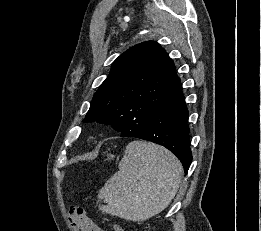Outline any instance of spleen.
<instances>
[{
    "label": "spleen",
    "instance_id": "1",
    "mask_svg": "<svg viewBox=\"0 0 261 231\" xmlns=\"http://www.w3.org/2000/svg\"><path fill=\"white\" fill-rule=\"evenodd\" d=\"M182 166L168 150L135 140L126 146L119 171L106 181L98 199L108 203L102 212L143 221L164 210L175 197Z\"/></svg>",
    "mask_w": 261,
    "mask_h": 231
}]
</instances>
